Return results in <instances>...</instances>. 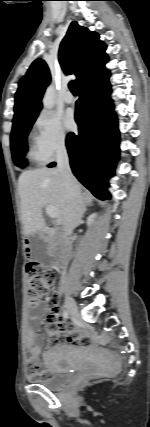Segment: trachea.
Returning <instances> with one entry per match:
<instances>
[{
    "mask_svg": "<svg viewBox=\"0 0 150 427\" xmlns=\"http://www.w3.org/2000/svg\"><path fill=\"white\" fill-rule=\"evenodd\" d=\"M69 89L71 90V92L73 94H77V87H76V82L75 81H70L69 82Z\"/></svg>",
    "mask_w": 150,
    "mask_h": 427,
    "instance_id": "3493384b",
    "label": "trachea"
}]
</instances>
